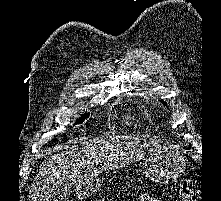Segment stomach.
<instances>
[{
  "label": "stomach",
  "mask_w": 221,
  "mask_h": 201,
  "mask_svg": "<svg viewBox=\"0 0 221 201\" xmlns=\"http://www.w3.org/2000/svg\"><path fill=\"white\" fill-rule=\"evenodd\" d=\"M185 170V159L180 151L173 148L159 150L146 156L144 161V173L157 183L165 184L177 180ZM101 186L100 180H94L89 184L80 186L78 195L86 197L95 192Z\"/></svg>",
  "instance_id": "obj_1"
}]
</instances>
